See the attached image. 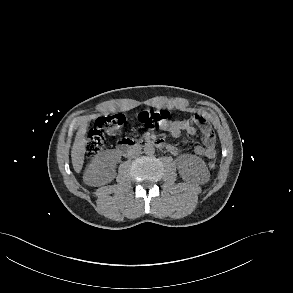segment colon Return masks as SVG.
I'll return each mask as SVG.
<instances>
[{"mask_svg": "<svg viewBox=\"0 0 293 293\" xmlns=\"http://www.w3.org/2000/svg\"><path fill=\"white\" fill-rule=\"evenodd\" d=\"M169 117L170 112L167 110H144L138 113L135 121L145 128L154 129L165 124ZM123 122L124 116L122 114H110L98 118L88 135L86 143L87 155L93 157L100 153L105 146V134L115 133L120 129ZM208 166L213 169L216 166V162L211 161Z\"/></svg>", "mask_w": 293, "mask_h": 293, "instance_id": "5ec220e1", "label": "colon"}]
</instances>
